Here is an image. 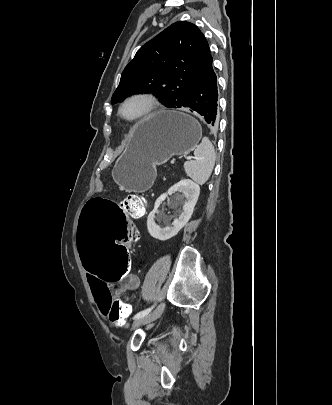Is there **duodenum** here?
Listing matches in <instances>:
<instances>
[{
	"label": "duodenum",
	"mask_w": 332,
	"mask_h": 405,
	"mask_svg": "<svg viewBox=\"0 0 332 405\" xmlns=\"http://www.w3.org/2000/svg\"><path fill=\"white\" fill-rule=\"evenodd\" d=\"M134 216H136V217H140V216H141V214L136 213V214H134Z\"/></svg>",
	"instance_id": "1"
}]
</instances>
